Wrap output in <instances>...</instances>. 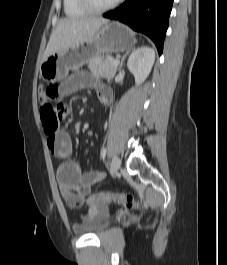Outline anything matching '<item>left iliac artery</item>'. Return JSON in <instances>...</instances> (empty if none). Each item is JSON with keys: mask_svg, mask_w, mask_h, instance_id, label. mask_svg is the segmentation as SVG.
Wrapping results in <instances>:
<instances>
[{"mask_svg": "<svg viewBox=\"0 0 227 265\" xmlns=\"http://www.w3.org/2000/svg\"><path fill=\"white\" fill-rule=\"evenodd\" d=\"M106 152H107V149L106 148H103V150L101 152V157H102L103 160L105 159Z\"/></svg>", "mask_w": 227, "mask_h": 265, "instance_id": "left-iliac-artery-1", "label": "left iliac artery"}]
</instances>
